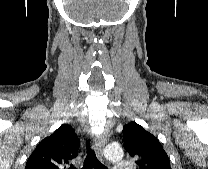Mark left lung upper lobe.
<instances>
[{"mask_svg": "<svg viewBox=\"0 0 208 169\" xmlns=\"http://www.w3.org/2000/svg\"><path fill=\"white\" fill-rule=\"evenodd\" d=\"M124 148L136 159L139 169H171L159 140L136 122L123 127Z\"/></svg>", "mask_w": 208, "mask_h": 169, "instance_id": "5c2ea615", "label": "left lung upper lobe"}]
</instances>
